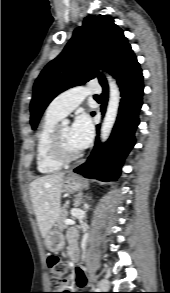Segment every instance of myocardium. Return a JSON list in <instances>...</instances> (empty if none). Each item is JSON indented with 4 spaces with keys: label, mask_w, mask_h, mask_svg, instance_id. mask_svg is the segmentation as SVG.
I'll return each mask as SVG.
<instances>
[{
    "label": "myocardium",
    "mask_w": 170,
    "mask_h": 293,
    "mask_svg": "<svg viewBox=\"0 0 170 293\" xmlns=\"http://www.w3.org/2000/svg\"><path fill=\"white\" fill-rule=\"evenodd\" d=\"M59 125H56L51 132L49 141V151L54 160L60 163H69L75 161L81 156V152L77 151L73 154H66L59 140Z\"/></svg>",
    "instance_id": "1"
}]
</instances>
